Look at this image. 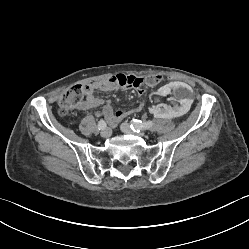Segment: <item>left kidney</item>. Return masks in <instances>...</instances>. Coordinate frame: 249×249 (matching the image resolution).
<instances>
[{"instance_id":"obj_1","label":"left kidney","mask_w":249,"mask_h":249,"mask_svg":"<svg viewBox=\"0 0 249 249\" xmlns=\"http://www.w3.org/2000/svg\"><path fill=\"white\" fill-rule=\"evenodd\" d=\"M157 96L160 100L167 101V104L156 103L151 108L152 115L161 119L180 120L184 118L196 100L194 90L177 79L160 87Z\"/></svg>"}]
</instances>
